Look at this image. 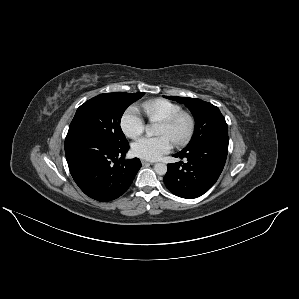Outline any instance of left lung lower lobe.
Masks as SVG:
<instances>
[{
	"label": "left lung lower lobe",
	"instance_id": "1",
	"mask_svg": "<svg viewBox=\"0 0 299 299\" xmlns=\"http://www.w3.org/2000/svg\"><path fill=\"white\" fill-rule=\"evenodd\" d=\"M228 142V135L215 136L173 155L186 161L167 165L164 183L168 190L187 199L207 192L224 168Z\"/></svg>",
	"mask_w": 299,
	"mask_h": 299
}]
</instances>
